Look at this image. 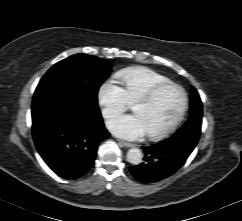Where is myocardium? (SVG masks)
Instances as JSON below:
<instances>
[{"label":"myocardium","instance_id":"obj_1","mask_svg":"<svg viewBox=\"0 0 242 221\" xmlns=\"http://www.w3.org/2000/svg\"><path fill=\"white\" fill-rule=\"evenodd\" d=\"M167 88H176L180 91V93L182 95V106H181L178 116L168 127H166L165 129H163L161 131L147 134L148 138L151 140L162 139V138L170 135L177 129V127L183 121V119L187 113V109H188V105H189L188 94L181 85H179L175 82H166V83H162V84L155 86L154 88H152L150 91H148L146 94H144L143 96H141L134 102V105L149 104V103L153 102L158 97V95Z\"/></svg>","mask_w":242,"mask_h":221}]
</instances>
